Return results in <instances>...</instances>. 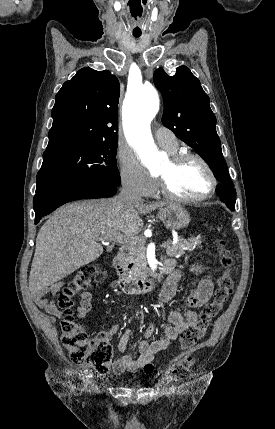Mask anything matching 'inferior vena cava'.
<instances>
[{"instance_id":"obj_1","label":"inferior vena cava","mask_w":275,"mask_h":429,"mask_svg":"<svg viewBox=\"0 0 275 429\" xmlns=\"http://www.w3.org/2000/svg\"><path fill=\"white\" fill-rule=\"evenodd\" d=\"M120 202L131 205L141 200L138 187L132 181H124L121 192L118 196Z\"/></svg>"}]
</instances>
